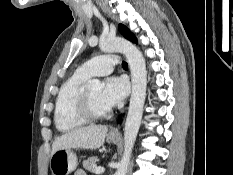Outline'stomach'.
<instances>
[{
	"label": "stomach",
	"mask_w": 233,
	"mask_h": 175,
	"mask_svg": "<svg viewBox=\"0 0 233 175\" xmlns=\"http://www.w3.org/2000/svg\"><path fill=\"white\" fill-rule=\"evenodd\" d=\"M112 142H117L119 137L109 136ZM77 167L76 154L71 149L57 150L50 158V169L52 175H69Z\"/></svg>",
	"instance_id": "0dacf381"
}]
</instances>
